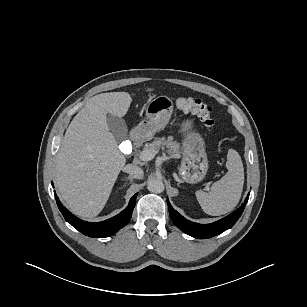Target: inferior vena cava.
<instances>
[{
	"label": "inferior vena cava",
	"mask_w": 307,
	"mask_h": 307,
	"mask_svg": "<svg viewBox=\"0 0 307 307\" xmlns=\"http://www.w3.org/2000/svg\"><path fill=\"white\" fill-rule=\"evenodd\" d=\"M122 170L136 179H142L144 176L143 170L140 167L133 164L126 165Z\"/></svg>",
	"instance_id": "inferior-vena-cava-1"
}]
</instances>
